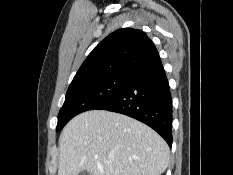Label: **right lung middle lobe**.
<instances>
[{
    "mask_svg": "<svg viewBox=\"0 0 233 175\" xmlns=\"http://www.w3.org/2000/svg\"><path fill=\"white\" fill-rule=\"evenodd\" d=\"M131 78L124 74H107L71 83L58 114L56 131L79 113L96 109L113 98Z\"/></svg>",
    "mask_w": 233,
    "mask_h": 175,
    "instance_id": "right-lung-middle-lobe-1",
    "label": "right lung middle lobe"
}]
</instances>
